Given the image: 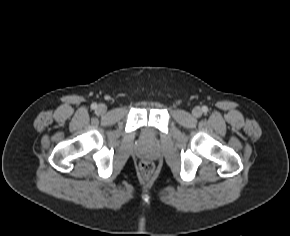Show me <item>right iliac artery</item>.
I'll use <instances>...</instances> for the list:
<instances>
[{"label":"right iliac artery","mask_w":290,"mask_h":236,"mask_svg":"<svg viewBox=\"0 0 290 236\" xmlns=\"http://www.w3.org/2000/svg\"><path fill=\"white\" fill-rule=\"evenodd\" d=\"M91 108H92V109H96V108H97V104H96V103H93V104L91 105Z\"/></svg>","instance_id":"right-iliac-artery-1"}]
</instances>
